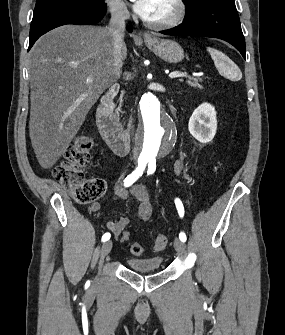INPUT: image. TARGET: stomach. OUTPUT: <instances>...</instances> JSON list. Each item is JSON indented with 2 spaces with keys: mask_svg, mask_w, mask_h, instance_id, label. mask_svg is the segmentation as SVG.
I'll return each mask as SVG.
<instances>
[{
  "mask_svg": "<svg viewBox=\"0 0 285 335\" xmlns=\"http://www.w3.org/2000/svg\"><path fill=\"white\" fill-rule=\"evenodd\" d=\"M152 40L153 42L146 40L147 48L164 62L178 64V62L184 60V52L177 42H173V40H158V38H152Z\"/></svg>",
  "mask_w": 285,
  "mask_h": 335,
  "instance_id": "0dacf381",
  "label": "stomach"
}]
</instances>
